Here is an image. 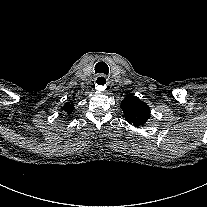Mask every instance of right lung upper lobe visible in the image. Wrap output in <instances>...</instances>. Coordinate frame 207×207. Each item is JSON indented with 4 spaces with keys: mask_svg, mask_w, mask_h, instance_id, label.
Here are the masks:
<instances>
[{
    "mask_svg": "<svg viewBox=\"0 0 207 207\" xmlns=\"http://www.w3.org/2000/svg\"><path fill=\"white\" fill-rule=\"evenodd\" d=\"M62 110L67 112L68 114H71L72 111L74 110V105L72 102L66 103L63 107Z\"/></svg>",
    "mask_w": 207,
    "mask_h": 207,
    "instance_id": "cb5924a9",
    "label": "right lung upper lobe"
}]
</instances>
